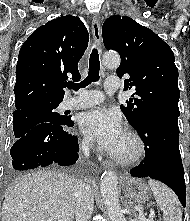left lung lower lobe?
<instances>
[{"mask_svg": "<svg viewBox=\"0 0 190 221\" xmlns=\"http://www.w3.org/2000/svg\"><path fill=\"white\" fill-rule=\"evenodd\" d=\"M178 116L154 113L135 129L145 143V158L130 171L133 177H150L169 186L186 204L184 169L179 151Z\"/></svg>", "mask_w": 190, "mask_h": 221, "instance_id": "left-lung-lower-lobe-1", "label": "left lung lower lobe"}]
</instances>
